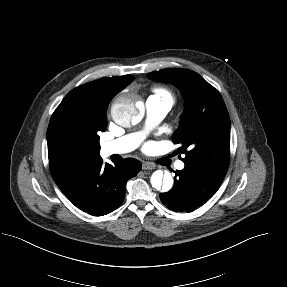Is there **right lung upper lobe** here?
I'll use <instances>...</instances> for the list:
<instances>
[{
    "mask_svg": "<svg viewBox=\"0 0 287 287\" xmlns=\"http://www.w3.org/2000/svg\"><path fill=\"white\" fill-rule=\"evenodd\" d=\"M131 75L104 77L70 91L54 111L47 130L51 175L65 194L99 158L80 143L87 115L103 120L111 99L133 81ZM107 119V118H106Z\"/></svg>",
    "mask_w": 287,
    "mask_h": 287,
    "instance_id": "cb5924a9",
    "label": "right lung upper lobe"
}]
</instances>
